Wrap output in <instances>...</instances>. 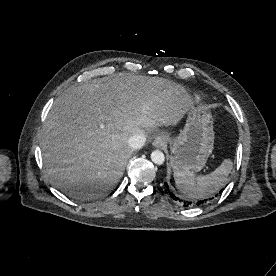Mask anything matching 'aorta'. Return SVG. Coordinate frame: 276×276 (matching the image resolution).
<instances>
[{"mask_svg": "<svg viewBox=\"0 0 276 276\" xmlns=\"http://www.w3.org/2000/svg\"><path fill=\"white\" fill-rule=\"evenodd\" d=\"M151 160L157 165H162L165 161V156L162 151L155 150L151 153Z\"/></svg>", "mask_w": 276, "mask_h": 276, "instance_id": "1", "label": "aorta"}]
</instances>
